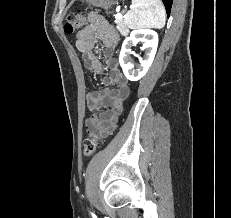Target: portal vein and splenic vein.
<instances>
[{"instance_id": "obj_1", "label": "portal vein and splenic vein", "mask_w": 231, "mask_h": 218, "mask_svg": "<svg viewBox=\"0 0 231 218\" xmlns=\"http://www.w3.org/2000/svg\"><path fill=\"white\" fill-rule=\"evenodd\" d=\"M115 18H116V19H121V18H122V14H121V13H117V14L115 15Z\"/></svg>"}]
</instances>
